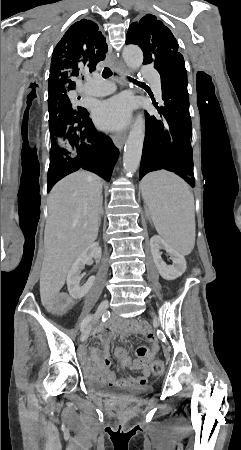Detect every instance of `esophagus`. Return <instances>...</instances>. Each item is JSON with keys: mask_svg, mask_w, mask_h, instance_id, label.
Wrapping results in <instances>:
<instances>
[{"mask_svg": "<svg viewBox=\"0 0 241 450\" xmlns=\"http://www.w3.org/2000/svg\"><path fill=\"white\" fill-rule=\"evenodd\" d=\"M112 62L114 64V66L117 67V71L121 75L127 74V69L118 60H116V58L113 55H112ZM125 139H126V134L115 135L113 137V141H114L116 147L119 148V150H121L123 148Z\"/></svg>", "mask_w": 241, "mask_h": 450, "instance_id": "34e87169", "label": "esophagus"}]
</instances>
